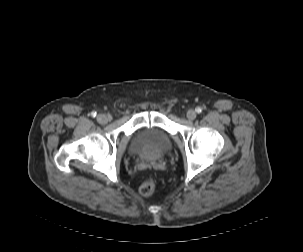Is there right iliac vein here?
I'll return each mask as SVG.
<instances>
[{"instance_id":"obj_1","label":"right iliac vein","mask_w":303,"mask_h":252,"mask_svg":"<svg viewBox=\"0 0 303 252\" xmlns=\"http://www.w3.org/2000/svg\"><path fill=\"white\" fill-rule=\"evenodd\" d=\"M97 121L100 123V124H106L108 122V117L106 114H99L97 116Z\"/></svg>"}]
</instances>
